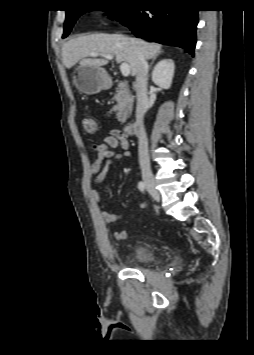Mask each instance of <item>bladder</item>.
Listing matches in <instances>:
<instances>
[{
	"label": "bladder",
	"mask_w": 254,
	"mask_h": 355,
	"mask_svg": "<svg viewBox=\"0 0 254 355\" xmlns=\"http://www.w3.org/2000/svg\"><path fill=\"white\" fill-rule=\"evenodd\" d=\"M133 258L137 263L149 264L156 261L155 250L147 243H138L133 252Z\"/></svg>",
	"instance_id": "1"
}]
</instances>
